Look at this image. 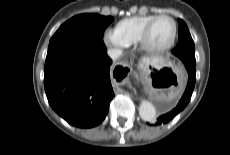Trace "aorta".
I'll use <instances>...</instances> for the list:
<instances>
[{"instance_id": "762f6f07", "label": "aorta", "mask_w": 230, "mask_h": 155, "mask_svg": "<svg viewBox=\"0 0 230 155\" xmlns=\"http://www.w3.org/2000/svg\"><path fill=\"white\" fill-rule=\"evenodd\" d=\"M139 115L144 121L151 122L156 117V109L151 102L143 100L139 106Z\"/></svg>"}]
</instances>
